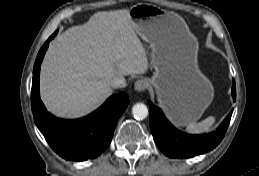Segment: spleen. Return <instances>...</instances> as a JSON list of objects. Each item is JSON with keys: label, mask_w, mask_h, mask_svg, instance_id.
Returning <instances> with one entry per match:
<instances>
[{"label": "spleen", "mask_w": 259, "mask_h": 176, "mask_svg": "<svg viewBox=\"0 0 259 176\" xmlns=\"http://www.w3.org/2000/svg\"><path fill=\"white\" fill-rule=\"evenodd\" d=\"M215 120H216L215 117L209 116L205 120L199 123H190L186 127V131L192 134H200V133L208 132L210 128L213 126V124L215 123Z\"/></svg>", "instance_id": "1"}]
</instances>
